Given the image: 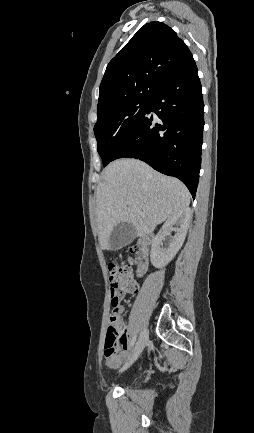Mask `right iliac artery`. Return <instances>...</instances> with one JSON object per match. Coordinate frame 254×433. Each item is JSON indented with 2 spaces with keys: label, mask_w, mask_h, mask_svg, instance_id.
<instances>
[{
  "label": "right iliac artery",
  "mask_w": 254,
  "mask_h": 433,
  "mask_svg": "<svg viewBox=\"0 0 254 433\" xmlns=\"http://www.w3.org/2000/svg\"><path fill=\"white\" fill-rule=\"evenodd\" d=\"M135 340H136V337L133 338V340H132V342H131L132 345L134 344Z\"/></svg>",
  "instance_id": "right-iliac-artery-1"
}]
</instances>
